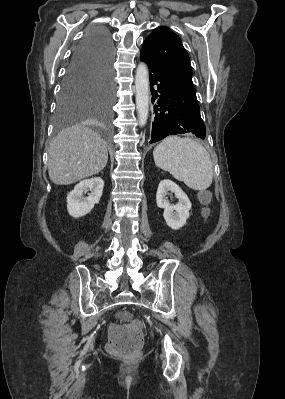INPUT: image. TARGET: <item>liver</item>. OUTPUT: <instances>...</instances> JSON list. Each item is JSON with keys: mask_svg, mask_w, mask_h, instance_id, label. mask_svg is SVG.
I'll list each match as a JSON object with an SVG mask.
<instances>
[{"mask_svg": "<svg viewBox=\"0 0 285 399\" xmlns=\"http://www.w3.org/2000/svg\"><path fill=\"white\" fill-rule=\"evenodd\" d=\"M108 161L106 142L81 125L62 130L52 141L48 155V174L57 185H67L102 171Z\"/></svg>", "mask_w": 285, "mask_h": 399, "instance_id": "obj_1", "label": "liver"}]
</instances>
